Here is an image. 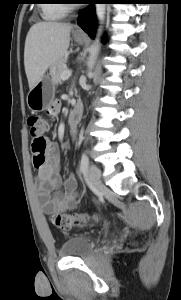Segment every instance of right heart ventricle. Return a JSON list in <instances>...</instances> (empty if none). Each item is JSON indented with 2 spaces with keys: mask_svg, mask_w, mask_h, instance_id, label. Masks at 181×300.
<instances>
[{
  "mask_svg": "<svg viewBox=\"0 0 181 300\" xmlns=\"http://www.w3.org/2000/svg\"><path fill=\"white\" fill-rule=\"evenodd\" d=\"M41 16L47 21H56L62 19L67 13V7L59 0H45L40 6Z\"/></svg>",
  "mask_w": 181,
  "mask_h": 300,
  "instance_id": "1",
  "label": "right heart ventricle"
}]
</instances>
